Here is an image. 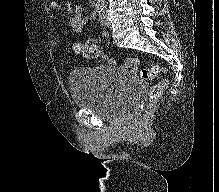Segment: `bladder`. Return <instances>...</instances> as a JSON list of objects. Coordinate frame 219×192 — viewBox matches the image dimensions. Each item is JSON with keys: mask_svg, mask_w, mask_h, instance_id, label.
I'll return each instance as SVG.
<instances>
[{"mask_svg": "<svg viewBox=\"0 0 219 192\" xmlns=\"http://www.w3.org/2000/svg\"><path fill=\"white\" fill-rule=\"evenodd\" d=\"M69 86L77 108L108 122L133 116L145 93L134 75L113 65L75 69L69 75Z\"/></svg>", "mask_w": 219, "mask_h": 192, "instance_id": "bladder-1", "label": "bladder"}]
</instances>
